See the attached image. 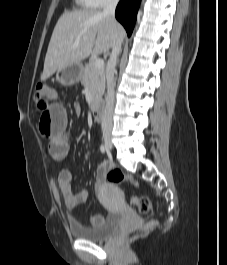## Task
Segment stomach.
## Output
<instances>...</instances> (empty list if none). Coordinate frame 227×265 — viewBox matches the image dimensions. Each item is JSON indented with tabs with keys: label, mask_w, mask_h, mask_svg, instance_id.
I'll list each match as a JSON object with an SVG mask.
<instances>
[{
	"label": "stomach",
	"mask_w": 227,
	"mask_h": 265,
	"mask_svg": "<svg viewBox=\"0 0 227 265\" xmlns=\"http://www.w3.org/2000/svg\"><path fill=\"white\" fill-rule=\"evenodd\" d=\"M83 69L81 63L58 69L55 76L56 81L65 86L73 85L81 80Z\"/></svg>",
	"instance_id": "stomach-1"
}]
</instances>
